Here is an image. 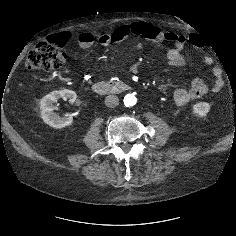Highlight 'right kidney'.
<instances>
[{"label":"right kidney","mask_w":236,"mask_h":236,"mask_svg":"<svg viewBox=\"0 0 236 236\" xmlns=\"http://www.w3.org/2000/svg\"><path fill=\"white\" fill-rule=\"evenodd\" d=\"M60 98L69 100L70 103L75 102L77 95L74 91L64 89L59 91H53L44 96L40 101L41 118L43 121L53 128H63L69 126L73 122L72 116H59L54 113V102H57Z\"/></svg>","instance_id":"right-kidney-1"}]
</instances>
